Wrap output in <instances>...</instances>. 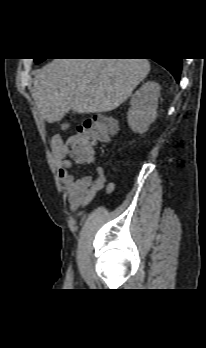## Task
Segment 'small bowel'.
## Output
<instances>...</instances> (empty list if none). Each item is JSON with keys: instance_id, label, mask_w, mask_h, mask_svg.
Wrapping results in <instances>:
<instances>
[{"instance_id": "small-bowel-1", "label": "small bowel", "mask_w": 206, "mask_h": 348, "mask_svg": "<svg viewBox=\"0 0 206 348\" xmlns=\"http://www.w3.org/2000/svg\"><path fill=\"white\" fill-rule=\"evenodd\" d=\"M59 143L60 138L55 137L53 139L54 158L58 166V175L67 193L70 211L75 214L79 210L85 209L100 190L106 189L107 192H110L115 185L107 181L105 168L101 165H96V157L93 151L91 160L77 163L95 166L96 177L93 178L88 175L80 178L74 177L70 173L72 162L59 151Z\"/></svg>"}]
</instances>
